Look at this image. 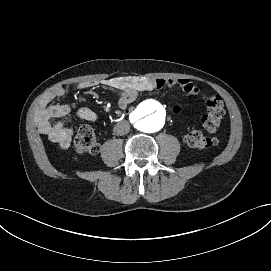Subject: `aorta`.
Here are the masks:
<instances>
[{"instance_id": "aorta-1", "label": "aorta", "mask_w": 271, "mask_h": 271, "mask_svg": "<svg viewBox=\"0 0 271 271\" xmlns=\"http://www.w3.org/2000/svg\"><path fill=\"white\" fill-rule=\"evenodd\" d=\"M137 127L146 133H154L163 128L166 120L164 107L155 100L141 102L132 114Z\"/></svg>"}]
</instances>
